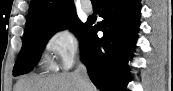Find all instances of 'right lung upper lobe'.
<instances>
[{
    "label": "right lung upper lobe",
    "mask_w": 173,
    "mask_h": 91,
    "mask_svg": "<svg viewBox=\"0 0 173 91\" xmlns=\"http://www.w3.org/2000/svg\"><path fill=\"white\" fill-rule=\"evenodd\" d=\"M76 14L73 0H31L25 30Z\"/></svg>",
    "instance_id": "1"
}]
</instances>
